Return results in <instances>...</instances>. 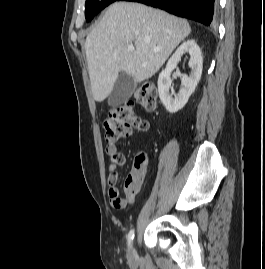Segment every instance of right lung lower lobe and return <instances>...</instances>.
<instances>
[{
  "label": "right lung lower lobe",
  "instance_id": "right-lung-lower-lobe-1",
  "mask_svg": "<svg viewBox=\"0 0 265 269\" xmlns=\"http://www.w3.org/2000/svg\"><path fill=\"white\" fill-rule=\"evenodd\" d=\"M139 2L171 14L210 25L217 9L216 0H119Z\"/></svg>",
  "mask_w": 265,
  "mask_h": 269
}]
</instances>
